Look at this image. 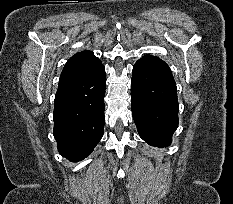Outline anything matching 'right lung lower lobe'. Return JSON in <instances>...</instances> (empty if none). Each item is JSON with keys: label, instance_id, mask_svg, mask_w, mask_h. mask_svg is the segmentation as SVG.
<instances>
[{"label": "right lung lower lobe", "instance_id": "98d812e1", "mask_svg": "<svg viewBox=\"0 0 233 204\" xmlns=\"http://www.w3.org/2000/svg\"><path fill=\"white\" fill-rule=\"evenodd\" d=\"M106 73L103 65L79 81L58 87L54 137L58 151L71 161L86 158L104 132Z\"/></svg>", "mask_w": 233, "mask_h": 204}]
</instances>
